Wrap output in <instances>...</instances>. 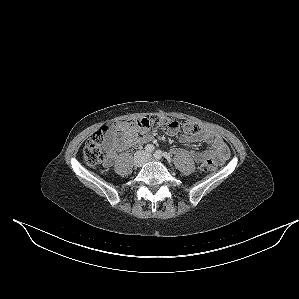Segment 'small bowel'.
I'll use <instances>...</instances> for the list:
<instances>
[{"instance_id":"1","label":"small bowel","mask_w":299,"mask_h":299,"mask_svg":"<svg viewBox=\"0 0 299 299\" xmlns=\"http://www.w3.org/2000/svg\"><path fill=\"white\" fill-rule=\"evenodd\" d=\"M175 134L176 132H168ZM152 139V135L147 130H139L128 125V121L121 122L115 134L106 144L107 156L104 159V166L111 167L114 163L116 152L129 149L142 142ZM180 142L188 145L192 142H204L211 144V148L200 152H191V157L198 164L210 161L215 165L223 164L230 156V151L223 138L209 129H201L196 135H182ZM179 149H173L172 153H179Z\"/></svg>"}]
</instances>
